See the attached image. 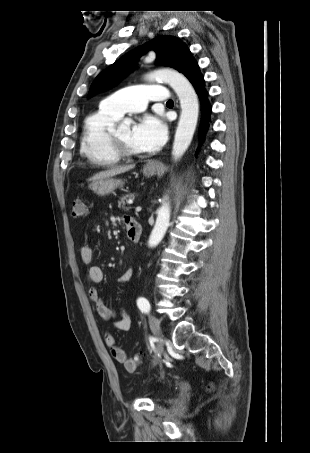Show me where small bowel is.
Instances as JSON below:
<instances>
[{"label":"small bowel","instance_id":"obj_1","mask_svg":"<svg viewBox=\"0 0 310 453\" xmlns=\"http://www.w3.org/2000/svg\"><path fill=\"white\" fill-rule=\"evenodd\" d=\"M125 226L130 221H134V219L130 216H124L123 218ZM94 252L93 249L88 245H83L80 248V258L83 264H90L93 260ZM134 275V271L132 268L125 270L122 274H120L116 278V283L122 284L126 283ZM87 280L90 283L89 289V298L95 306V309L101 319L108 321L113 318H116L114 322V327L119 331H128L131 328V318L128 313L123 310L119 309L118 311L107 306L98 289V286L102 283L104 279L103 271L98 266H91L87 271ZM105 343L109 348L113 358L119 363H125L127 361V355L125 351L116 344L115 338L111 334H106L105 336Z\"/></svg>","mask_w":310,"mask_h":453}]
</instances>
